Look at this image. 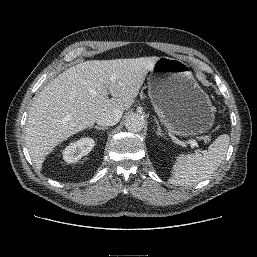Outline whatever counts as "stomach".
<instances>
[{
  "label": "stomach",
  "instance_id": "obj_1",
  "mask_svg": "<svg viewBox=\"0 0 257 257\" xmlns=\"http://www.w3.org/2000/svg\"><path fill=\"white\" fill-rule=\"evenodd\" d=\"M148 89L159 119L173 133L188 137L212 128L214 107L183 60L160 57L150 70Z\"/></svg>",
  "mask_w": 257,
  "mask_h": 257
}]
</instances>
